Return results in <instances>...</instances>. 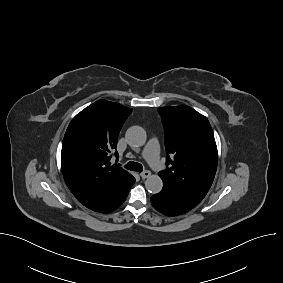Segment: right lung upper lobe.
I'll use <instances>...</instances> for the list:
<instances>
[{
  "label": "right lung upper lobe",
  "instance_id": "obj_1",
  "mask_svg": "<svg viewBox=\"0 0 283 283\" xmlns=\"http://www.w3.org/2000/svg\"><path fill=\"white\" fill-rule=\"evenodd\" d=\"M131 112L121 104L98 100L78 113L66 130L61 152L63 176L78 201L93 211L114 202L133 179L110 162Z\"/></svg>",
  "mask_w": 283,
  "mask_h": 283
}]
</instances>
